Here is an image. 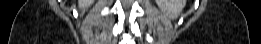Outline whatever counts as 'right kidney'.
<instances>
[{
	"mask_svg": "<svg viewBox=\"0 0 261 44\" xmlns=\"http://www.w3.org/2000/svg\"><path fill=\"white\" fill-rule=\"evenodd\" d=\"M78 2L80 9H86L92 4L93 0H79Z\"/></svg>",
	"mask_w": 261,
	"mask_h": 44,
	"instance_id": "ca27d5eb",
	"label": "right kidney"
}]
</instances>
